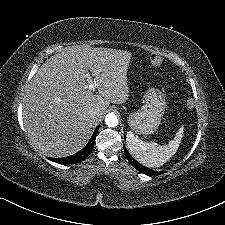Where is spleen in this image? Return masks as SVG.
Wrapping results in <instances>:
<instances>
[{
  "mask_svg": "<svg viewBox=\"0 0 225 225\" xmlns=\"http://www.w3.org/2000/svg\"><path fill=\"white\" fill-rule=\"evenodd\" d=\"M183 133L178 131L174 140L168 145L155 142H144L132 132L126 136V144L130 154L142 165L148 168L160 167L165 164L178 150Z\"/></svg>",
  "mask_w": 225,
  "mask_h": 225,
  "instance_id": "spleen-1",
  "label": "spleen"
}]
</instances>
